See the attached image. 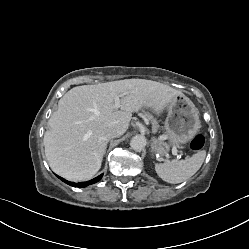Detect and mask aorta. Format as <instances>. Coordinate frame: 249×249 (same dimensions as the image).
Masks as SVG:
<instances>
[{"label":"aorta","instance_id":"1","mask_svg":"<svg viewBox=\"0 0 249 249\" xmlns=\"http://www.w3.org/2000/svg\"><path fill=\"white\" fill-rule=\"evenodd\" d=\"M147 140L143 135H136L130 141V146L135 151H141L145 148Z\"/></svg>","mask_w":249,"mask_h":249}]
</instances>
